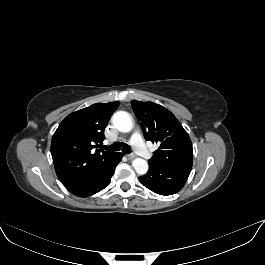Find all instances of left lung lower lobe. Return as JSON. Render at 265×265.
<instances>
[{
  "label": "left lung lower lobe",
  "mask_w": 265,
  "mask_h": 265,
  "mask_svg": "<svg viewBox=\"0 0 265 265\" xmlns=\"http://www.w3.org/2000/svg\"><path fill=\"white\" fill-rule=\"evenodd\" d=\"M191 172L189 167H153L149 166L148 173L140 176V182L151 191L160 195H172L184 186Z\"/></svg>",
  "instance_id": "obj_1"
}]
</instances>
